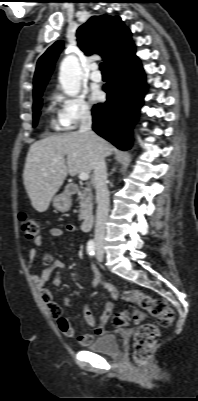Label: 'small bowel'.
<instances>
[{
  "label": "small bowel",
  "mask_w": 198,
  "mask_h": 401,
  "mask_svg": "<svg viewBox=\"0 0 198 401\" xmlns=\"http://www.w3.org/2000/svg\"><path fill=\"white\" fill-rule=\"evenodd\" d=\"M78 231H79V229L76 225L68 224L65 226L64 229H61L59 227H52L49 229L48 232L51 237L60 238L64 235V232L75 233ZM41 245H42V235L39 234L35 238L34 246L30 248L29 253H28L29 260H30L29 270L31 272L32 281H33L36 289L39 291L43 302L47 305L50 314L52 315L53 318H55L57 320L58 327H59L61 334L68 338H77L79 343L82 346H86L92 342L93 336L92 335H79L69 320H67L66 318H63L61 314L60 315L56 314L55 309L58 305L55 303V301L53 299V294H52L51 290H49L48 288L45 287L46 281L49 279L50 275L54 271H56L57 275H56L55 279L53 280V284L57 287L60 286V283H61L60 278L65 269L64 262L61 260L53 259L52 257L46 255L43 257V270L41 273L36 272L33 267V262L38 257V247H40ZM93 273H94V279H93L92 286L102 283L104 285V287L107 289L111 299H113V300L117 299L118 293H117L116 289L107 283H103L99 272L95 268H93ZM112 307H113V305H112L111 301L106 303L103 313H102V316H101V319H100V324H98L97 326L94 327L96 335L100 336L103 334V332H104L103 325L110 317V315L112 313ZM84 314H85L86 320L90 324L93 325L94 321H93V318L91 316V311L88 306L84 307Z\"/></svg>",
  "instance_id": "obj_1"
}]
</instances>
